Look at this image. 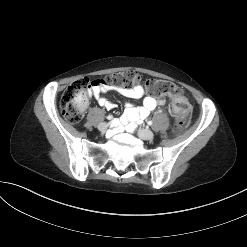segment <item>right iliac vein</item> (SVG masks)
<instances>
[{
  "label": "right iliac vein",
  "mask_w": 247,
  "mask_h": 247,
  "mask_svg": "<svg viewBox=\"0 0 247 247\" xmlns=\"http://www.w3.org/2000/svg\"><path fill=\"white\" fill-rule=\"evenodd\" d=\"M109 124L108 123H101L99 124L98 126V129L101 131V132H105L108 128Z\"/></svg>",
  "instance_id": "right-iliac-vein-1"
}]
</instances>
